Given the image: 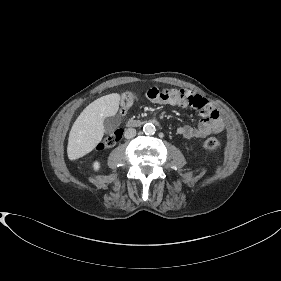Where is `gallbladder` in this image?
<instances>
[{"label":"gallbladder","mask_w":281,"mask_h":281,"mask_svg":"<svg viewBox=\"0 0 281 281\" xmlns=\"http://www.w3.org/2000/svg\"><path fill=\"white\" fill-rule=\"evenodd\" d=\"M121 123V118L117 115L106 117L104 119V130L106 133H110L115 130Z\"/></svg>","instance_id":"obj_1"}]
</instances>
